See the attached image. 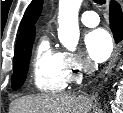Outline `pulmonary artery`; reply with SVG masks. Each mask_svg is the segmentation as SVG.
<instances>
[{
	"label": "pulmonary artery",
	"mask_w": 123,
	"mask_h": 113,
	"mask_svg": "<svg viewBox=\"0 0 123 113\" xmlns=\"http://www.w3.org/2000/svg\"><path fill=\"white\" fill-rule=\"evenodd\" d=\"M80 20L87 27H95L99 24V16L95 11L83 12Z\"/></svg>",
	"instance_id": "1"
}]
</instances>
